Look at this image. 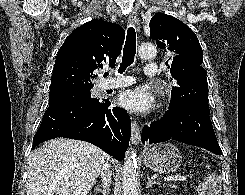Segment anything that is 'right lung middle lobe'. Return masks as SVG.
<instances>
[{"mask_svg":"<svg viewBox=\"0 0 245 195\" xmlns=\"http://www.w3.org/2000/svg\"><path fill=\"white\" fill-rule=\"evenodd\" d=\"M92 87H79L49 94V105L59 102L91 98Z\"/></svg>","mask_w":245,"mask_h":195,"instance_id":"1","label":"right lung middle lobe"}]
</instances>
